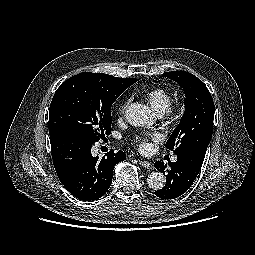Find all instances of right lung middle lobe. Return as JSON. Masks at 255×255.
Wrapping results in <instances>:
<instances>
[{
  "mask_svg": "<svg viewBox=\"0 0 255 255\" xmlns=\"http://www.w3.org/2000/svg\"><path fill=\"white\" fill-rule=\"evenodd\" d=\"M137 80L83 72L56 90L49 110V134L65 132L95 143L111 133V106Z\"/></svg>",
  "mask_w": 255,
  "mask_h": 255,
  "instance_id": "dd1d6c3e",
  "label": "right lung middle lobe"
}]
</instances>
